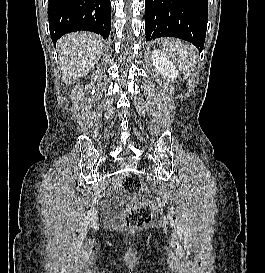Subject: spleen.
<instances>
[{
  "label": "spleen",
  "mask_w": 265,
  "mask_h": 273,
  "mask_svg": "<svg viewBox=\"0 0 265 273\" xmlns=\"http://www.w3.org/2000/svg\"><path fill=\"white\" fill-rule=\"evenodd\" d=\"M163 47L181 71L189 75L194 70L196 51L193 46L184 41L166 39Z\"/></svg>",
  "instance_id": "spleen-1"
}]
</instances>
